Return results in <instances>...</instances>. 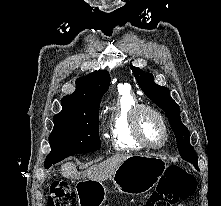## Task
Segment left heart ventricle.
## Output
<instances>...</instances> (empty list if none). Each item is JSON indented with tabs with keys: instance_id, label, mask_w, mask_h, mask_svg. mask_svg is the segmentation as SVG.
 Returning a JSON list of instances; mask_svg holds the SVG:
<instances>
[{
	"instance_id": "1",
	"label": "left heart ventricle",
	"mask_w": 221,
	"mask_h": 206,
	"mask_svg": "<svg viewBox=\"0 0 221 206\" xmlns=\"http://www.w3.org/2000/svg\"><path fill=\"white\" fill-rule=\"evenodd\" d=\"M140 128L145 140L157 145L163 139V129L160 121L151 113L144 112L140 119Z\"/></svg>"
}]
</instances>
